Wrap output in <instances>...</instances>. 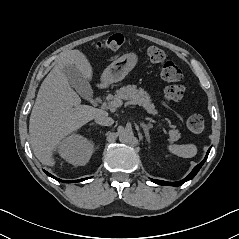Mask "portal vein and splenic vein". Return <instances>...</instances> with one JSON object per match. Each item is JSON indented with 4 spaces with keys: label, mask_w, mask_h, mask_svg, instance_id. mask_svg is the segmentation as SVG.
<instances>
[{
    "label": "portal vein and splenic vein",
    "mask_w": 239,
    "mask_h": 239,
    "mask_svg": "<svg viewBox=\"0 0 239 239\" xmlns=\"http://www.w3.org/2000/svg\"><path fill=\"white\" fill-rule=\"evenodd\" d=\"M121 105H122L121 100H113V101H110L108 103H103V106L114 107V108L120 107ZM159 124L162 125L161 122H159Z\"/></svg>",
    "instance_id": "18ae733b"
}]
</instances>
